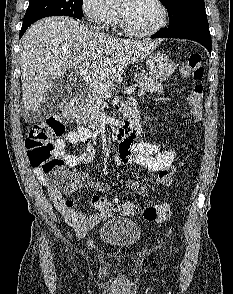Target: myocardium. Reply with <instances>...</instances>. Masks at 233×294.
I'll use <instances>...</instances> for the list:
<instances>
[{
	"label": "myocardium",
	"instance_id": "obj_1",
	"mask_svg": "<svg viewBox=\"0 0 233 294\" xmlns=\"http://www.w3.org/2000/svg\"><path fill=\"white\" fill-rule=\"evenodd\" d=\"M152 1L158 6L161 12V18L159 23L155 27L149 30H145V31L136 30V29H133L128 24L123 13L119 11L121 27L125 33L134 37H148V36L155 35L166 26L168 22V18H169V13H168V9L166 5L162 2V0H152Z\"/></svg>",
	"mask_w": 233,
	"mask_h": 294
}]
</instances>
